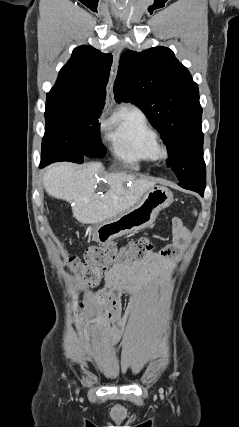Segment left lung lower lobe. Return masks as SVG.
Wrapping results in <instances>:
<instances>
[{
	"mask_svg": "<svg viewBox=\"0 0 239 427\" xmlns=\"http://www.w3.org/2000/svg\"><path fill=\"white\" fill-rule=\"evenodd\" d=\"M178 185L184 189L195 191L203 197L206 186V170L202 169L187 181L178 182Z\"/></svg>",
	"mask_w": 239,
	"mask_h": 427,
	"instance_id": "left-lung-lower-lobe-1",
	"label": "left lung lower lobe"
}]
</instances>
